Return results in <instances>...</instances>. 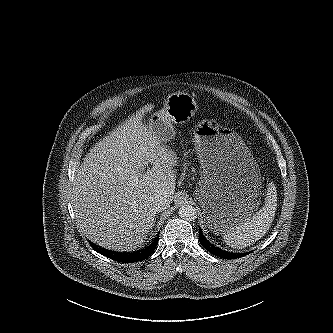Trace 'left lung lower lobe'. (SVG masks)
Listing matches in <instances>:
<instances>
[{
  "label": "left lung lower lobe",
  "instance_id": "obj_1",
  "mask_svg": "<svg viewBox=\"0 0 333 333\" xmlns=\"http://www.w3.org/2000/svg\"><path fill=\"white\" fill-rule=\"evenodd\" d=\"M199 240L202 246H204L209 252L223 259H237L247 255V253H233L222 250L219 247H216L206 239L200 227H199Z\"/></svg>",
  "mask_w": 333,
  "mask_h": 333
}]
</instances>
